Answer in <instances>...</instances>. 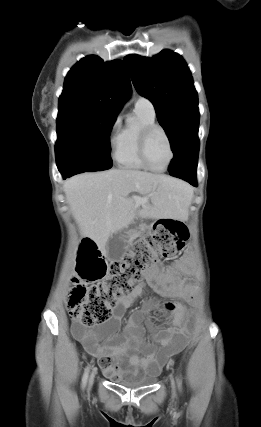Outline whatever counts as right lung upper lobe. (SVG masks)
<instances>
[{"instance_id": "right-lung-upper-lobe-1", "label": "right lung upper lobe", "mask_w": 261, "mask_h": 427, "mask_svg": "<svg viewBox=\"0 0 261 427\" xmlns=\"http://www.w3.org/2000/svg\"><path fill=\"white\" fill-rule=\"evenodd\" d=\"M131 94L126 66L122 60L104 62L91 55L68 72L59 98V111L75 108L99 110L117 115Z\"/></svg>"}]
</instances>
